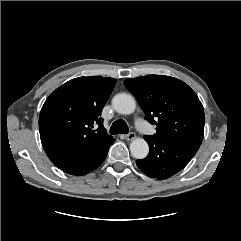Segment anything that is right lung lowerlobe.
I'll use <instances>...</instances> for the list:
<instances>
[{
    "mask_svg": "<svg viewBox=\"0 0 241 241\" xmlns=\"http://www.w3.org/2000/svg\"><path fill=\"white\" fill-rule=\"evenodd\" d=\"M113 142L114 139L111 137L88 151L62 157L53 163L60 170L71 175L87 174L103 163Z\"/></svg>",
    "mask_w": 241,
    "mask_h": 241,
    "instance_id": "1",
    "label": "right lung lower lobe"
}]
</instances>
